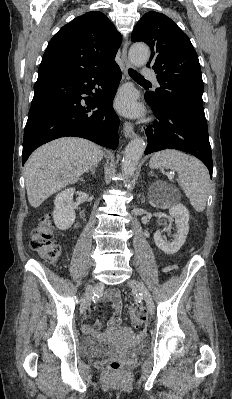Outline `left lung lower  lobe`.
Instances as JSON below:
<instances>
[{"label":"left lung lower lobe","instance_id":"left-lung-lower-lobe-1","mask_svg":"<svg viewBox=\"0 0 232 399\" xmlns=\"http://www.w3.org/2000/svg\"><path fill=\"white\" fill-rule=\"evenodd\" d=\"M157 119L145 129L148 145L145 154L163 149H176L194 155L208 168L212 177L213 161L208 128L173 105L161 104L145 94Z\"/></svg>","mask_w":232,"mask_h":399}]
</instances>
